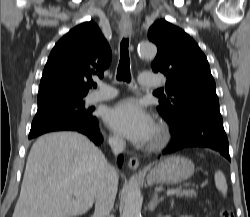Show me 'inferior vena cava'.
<instances>
[{
  "label": "inferior vena cava",
  "mask_w": 250,
  "mask_h": 217,
  "mask_svg": "<svg viewBox=\"0 0 250 217\" xmlns=\"http://www.w3.org/2000/svg\"><path fill=\"white\" fill-rule=\"evenodd\" d=\"M109 145L115 155L123 152L125 141L120 136L109 138ZM118 188V174L115 168L108 166L104 169L96 197L93 217H111Z\"/></svg>",
  "instance_id": "inferior-vena-cava-1"
}]
</instances>
